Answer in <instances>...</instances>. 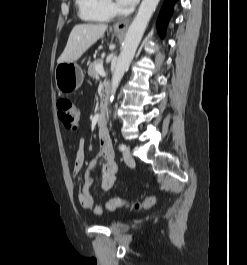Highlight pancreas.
Wrapping results in <instances>:
<instances>
[{
	"label": "pancreas",
	"instance_id": "pancreas-1",
	"mask_svg": "<svg viewBox=\"0 0 247 265\" xmlns=\"http://www.w3.org/2000/svg\"><path fill=\"white\" fill-rule=\"evenodd\" d=\"M98 65H101L103 67V61L101 59L90 63V65L88 67V75L90 77H93V78H98L99 77V72L96 70V67Z\"/></svg>",
	"mask_w": 247,
	"mask_h": 265
}]
</instances>
